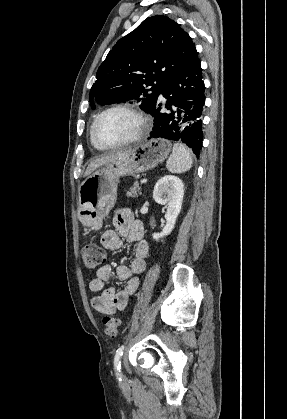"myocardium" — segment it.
<instances>
[{
    "label": "myocardium",
    "instance_id": "f54148a6",
    "mask_svg": "<svg viewBox=\"0 0 287 419\" xmlns=\"http://www.w3.org/2000/svg\"><path fill=\"white\" fill-rule=\"evenodd\" d=\"M115 110H124V111H127V112L133 114L139 121V129L137 130L136 134L134 136H132L131 138H129L128 140H125V141H122V142H119V143H114V144L101 142L96 136L97 124L105 114H107L111 111H115ZM148 127H149V124H148V120H147L146 116L137 107H135L134 105L129 104V103H117V104H114V105H111V106L105 108L104 110H102L97 115V117L94 119V121L91 125L90 133H91V137H92L93 141L98 146H100L104 149H115V148L128 146V145H131V144L139 141L148 131Z\"/></svg>",
    "mask_w": 287,
    "mask_h": 419
}]
</instances>
